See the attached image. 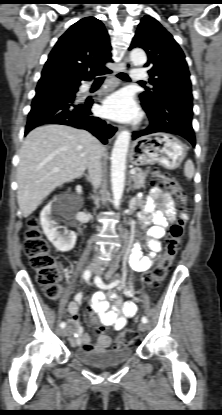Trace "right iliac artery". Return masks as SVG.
I'll return each mask as SVG.
<instances>
[{"instance_id": "right-iliac-artery-1", "label": "right iliac artery", "mask_w": 222, "mask_h": 415, "mask_svg": "<svg viewBox=\"0 0 222 415\" xmlns=\"http://www.w3.org/2000/svg\"><path fill=\"white\" fill-rule=\"evenodd\" d=\"M90 277H91V272H90L89 270H86V271L84 272V274H83V278H84L86 281H89ZM65 326H66V323H65V322H61V323H60V327H61V328H64Z\"/></svg>"}]
</instances>
